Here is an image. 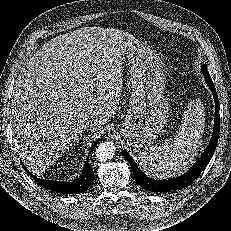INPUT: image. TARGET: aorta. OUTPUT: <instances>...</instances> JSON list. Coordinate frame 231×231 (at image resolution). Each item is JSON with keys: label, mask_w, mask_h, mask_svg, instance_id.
Returning a JSON list of instances; mask_svg holds the SVG:
<instances>
[{"label": "aorta", "mask_w": 231, "mask_h": 231, "mask_svg": "<svg viewBox=\"0 0 231 231\" xmlns=\"http://www.w3.org/2000/svg\"><path fill=\"white\" fill-rule=\"evenodd\" d=\"M116 147L112 142H102L96 148L95 156L98 161L106 162L115 155Z\"/></svg>", "instance_id": "1"}]
</instances>
